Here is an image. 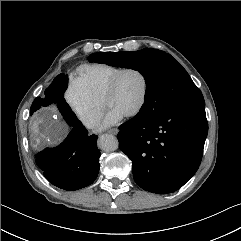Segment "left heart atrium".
<instances>
[{
    "label": "left heart atrium",
    "instance_id": "39dd6f15",
    "mask_svg": "<svg viewBox=\"0 0 241 241\" xmlns=\"http://www.w3.org/2000/svg\"><path fill=\"white\" fill-rule=\"evenodd\" d=\"M123 117H124V115L121 112H119L118 110H116L114 108H109L103 119V122H102L100 128L105 129V128L111 127V126L117 124L118 122H120Z\"/></svg>",
    "mask_w": 241,
    "mask_h": 241
}]
</instances>
